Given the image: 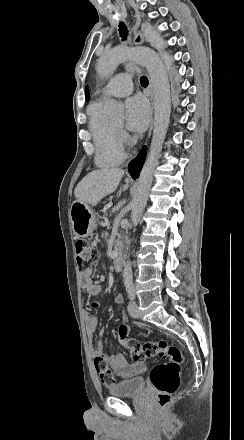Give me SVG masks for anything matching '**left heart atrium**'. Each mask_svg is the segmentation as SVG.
I'll use <instances>...</instances> for the list:
<instances>
[{"instance_id": "left-heart-atrium-1", "label": "left heart atrium", "mask_w": 244, "mask_h": 440, "mask_svg": "<svg viewBox=\"0 0 244 440\" xmlns=\"http://www.w3.org/2000/svg\"><path fill=\"white\" fill-rule=\"evenodd\" d=\"M127 126L135 132H142L149 122V106L141 96L131 97L126 101Z\"/></svg>"}]
</instances>
